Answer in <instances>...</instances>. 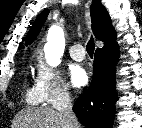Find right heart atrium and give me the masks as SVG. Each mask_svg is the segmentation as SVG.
I'll use <instances>...</instances> for the list:
<instances>
[{
	"instance_id": "1",
	"label": "right heart atrium",
	"mask_w": 142,
	"mask_h": 128,
	"mask_svg": "<svg viewBox=\"0 0 142 128\" xmlns=\"http://www.w3.org/2000/svg\"><path fill=\"white\" fill-rule=\"evenodd\" d=\"M35 89L40 101L49 105L70 98L69 87L61 74L42 60H38L36 67Z\"/></svg>"
}]
</instances>
